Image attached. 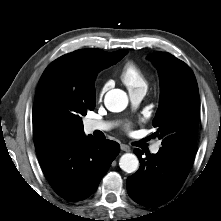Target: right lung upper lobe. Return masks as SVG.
<instances>
[{
  "mask_svg": "<svg viewBox=\"0 0 221 221\" xmlns=\"http://www.w3.org/2000/svg\"><path fill=\"white\" fill-rule=\"evenodd\" d=\"M127 52V50L105 52L99 49H81L61 56L52 63L62 64L78 73L95 69L101 71L103 68L117 63ZM72 93L84 101H96L94 84L91 87H85L77 83L72 88ZM33 126L36 150L53 142L84 134L83 127L72 124L58 126L51 123L47 118L36 114H33Z\"/></svg>",
  "mask_w": 221,
  "mask_h": 221,
  "instance_id": "cb5924a9",
  "label": "right lung upper lobe"
}]
</instances>
